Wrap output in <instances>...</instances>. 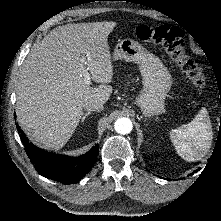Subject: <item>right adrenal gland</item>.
Segmentation results:
<instances>
[{"label": "right adrenal gland", "instance_id": "right-adrenal-gland-1", "mask_svg": "<svg viewBox=\"0 0 221 221\" xmlns=\"http://www.w3.org/2000/svg\"><path fill=\"white\" fill-rule=\"evenodd\" d=\"M91 114V112H87L83 115V117L81 118V122H84V120Z\"/></svg>", "mask_w": 221, "mask_h": 221}]
</instances>
